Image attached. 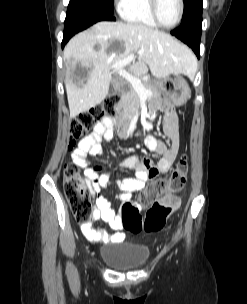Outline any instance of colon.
I'll return each instance as SVG.
<instances>
[{
	"mask_svg": "<svg viewBox=\"0 0 247 304\" xmlns=\"http://www.w3.org/2000/svg\"><path fill=\"white\" fill-rule=\"evenodd\" d=\"M119 100L118 94H110L101 103L75 117L71 122L69 148H73L77 140L87 138L88 133L100 121L114 115ZM187 175L188 160L182 157L168 177L154 179L150 187L138 196L140 201L149 204L143 222L138 206L131 201H126L121 211L124 227L133 233L141 229L149 233L160 231L179 206V199L172 192L184 186ZM63 181L65 194L75 219L81 225L89 223L93 209L87 181L81 176L78 168L71 164L65 166Z\"/></svg>",
	"mask_w": 247,
	"mask_h": 304,
	"instance_id": "colon-1",
	"label": "colon"
}]
</instances>
